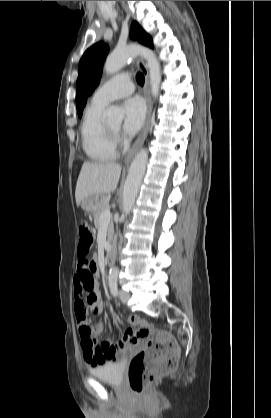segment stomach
Wrapping results in <instances>:
<instances>
[{
  "label": "stomach",
  "mask_w": 271,
  "mask_h": 418,
  "mask_svg": "<svg viewBox=\"0 0 271 418\" xmlns=\"http://www.w3.org/2000/svg\"><path fill=\"white\" fill-rule=\"evenodd\" d=\"M101 197V195H91L86 197L81 201L80 206L86 214H93L100 203Z\"/></svg>",
  "instance_id": "stomach-1"
}]
</instances>
